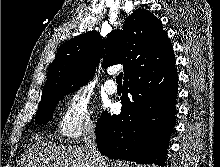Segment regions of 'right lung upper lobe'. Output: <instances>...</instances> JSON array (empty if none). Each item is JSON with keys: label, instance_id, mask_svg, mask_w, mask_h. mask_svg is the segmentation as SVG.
<instances>
[{"label": "right lung upper lobe", "instance_id": "right-lung-upper-lobe-1", "mask_svg": "<svg viewBox=\"0 0 220 167\" xmlns=\"http://www.w3.org/2000/svg\"><path fill=\"white\" fill-rule=\"evenodd\" d=\"M101 56L103 67L123 65L124 80L175 60L161 21L146 9H136L122 29L111 31L105 39L93 30L63 43L48 70L41 101L92 79ZM73 84L77 85L70 87Z\"/></svg>", "mask_w": 220, "mask_h": 167}]
</instances>
